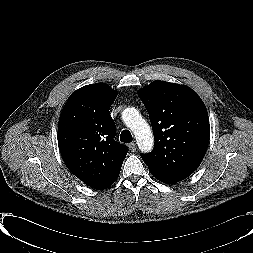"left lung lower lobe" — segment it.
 <instances>
[{
    "instance_id": "0a47b994",
    "label": "left lung lower lobe",
    "mask_w": 253,
    "mask_h": 253,
    "mask_svg": "<svg viewBox=\"0 0 253 253\" xmlns=\"http://www.w3.org/2000/svg\"><path fill=\"white\" fill-rule=\"evenodd\" d=\"M150 172L156 179L167 184H174L189 176V175H182V174H168V173H160V172H153V171H150Z\"/></svg>"
}]
</instances>
